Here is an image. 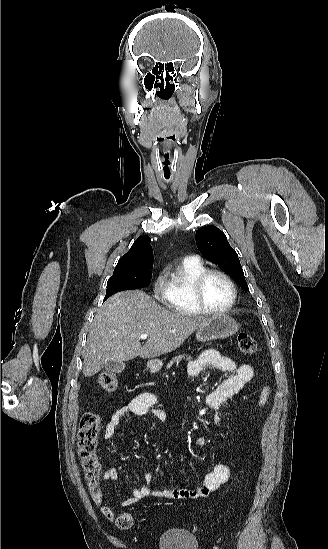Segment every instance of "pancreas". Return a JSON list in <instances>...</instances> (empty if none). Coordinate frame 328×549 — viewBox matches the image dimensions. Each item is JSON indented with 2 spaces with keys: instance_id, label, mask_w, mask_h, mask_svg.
Returning <instances> with one entry per match:
<instances>
[{
  "instance_id": "pancreas-1",
  "label": "pancreas",
  "mask_w": 328,
  "mask_h": 549,
  "mask_svg": "<svg viewBox=\"0 0 328 549\" xmlns=\"http://www.w3.org/2000/svg\"><path fill=\"white\" fill-rule=\"evenodd\" d=\"M182 359H187V361H189V359H192V357H185V355H179V357H174V359H172V361L168 363L166 369H170V367H172L174 363H179V361H182Z\"/></svg>"
}]
</instances>
